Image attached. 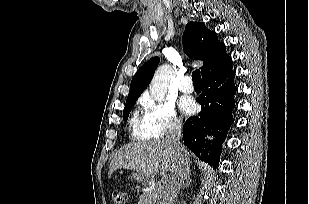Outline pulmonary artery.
I'll return each mask as SVG.
<instances>
[{
	"label": "pulmonary artery",
	"mask_w": 309,
	"mask_h": 204,
	"mask_svg": "<svg viewBox=\"0 0 309 204\" xmlns=\"http://www.w3.org/2000/svg\"><path fill=\"white\" fill-rule=\"evenodd\" d=\"M179 90L183 93L189 94L194 91L192 79L189 76L184 77L179 83Z\"/></svg>",
	"instance_id": "e3ab8cb5"
}]
</instances>
